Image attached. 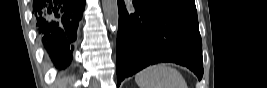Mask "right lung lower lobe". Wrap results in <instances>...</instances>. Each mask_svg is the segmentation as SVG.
<instances>
[{
    "label": "right lung lower lobe",
    "mask_w": 267,
    "mask_h": 88,
    "mask_svg": "<svg viewBox=\"0 0 267 88\" xmlns=\"http://www.w3.org/2000/svg\"><path fill=\"white\" fill-rule=\"evenodd\" d=\"M85 0H34L33 14L38 35L56 67L71 60L73 42Z\"/></svg>",
    "instance_id": "obj_1"
}]
</instances>
